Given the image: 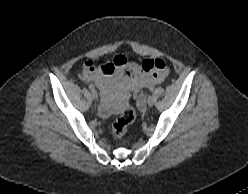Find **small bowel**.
<instances>
[{"label":"small bowel","mask_w":248,"mask_h":194,"mask_svg":"<svg viewBox=\"0 0 248 194\" xmlns=\"http://www.w3.org/2000/svg\"><path fill=\"white\" fill-rule=\"evenodd\" d=\"M128 61L122 54H118L111 62L95 66L93 61H87L82 69L85 82L95 85L107 98L112 90L131 91L137 93L147 87H154L162 83L169 74L165 68L161 71L145 70L144 64ZM101 112L108 115V106L102 105Z\"/></svg>","instance_id":"small-bowel-1"}]
</instances>
